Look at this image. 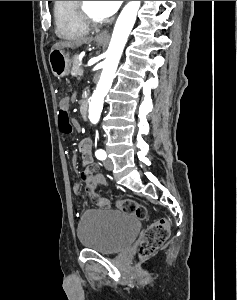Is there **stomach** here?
Listing matches in <instances>:
<instances>
[{"mask_svg":"<svg viewBox=\"0 0 237 300\" xmlns=\"http://www.w3.org/2000/svg\"><path fill=\"white\" fill-rule=\"evenodd\" d=\"M99 45H103V41H97ZM49 63L51 71L55 77H66L70 73V53H66L63 49H53L49 53Z\"/></svg>","mask_w":237,"mask_h":300,"instance_id":"0dacf381","label":"stomach"}]
</instances>
